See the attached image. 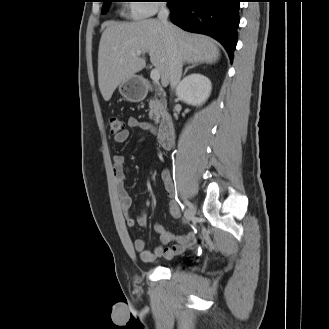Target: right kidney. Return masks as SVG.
<instances>
[{"label":"right kidney","instance_id":"1","mask_svg":"<svg viewBox=\"0 0 329 329\" xmlns=\"http://www.w3.org/2000/svg\"><path fill=\"white\" fill-rule=\"evenodd\" d=\"M211 89V82L206 76L193 73L179 83L176 93L185 103L200 106L210 96Z\"/></svg>","mask_w":329,"mask_h":329}]
</instances>
